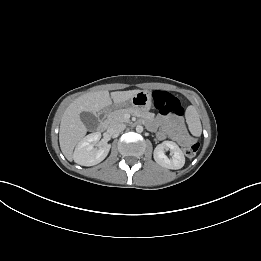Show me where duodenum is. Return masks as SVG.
<instances>
[{"mask_svg":"<svg viewBox=\"0 0 261 261\" xmlns=\"http://www.w3.org/2000/svg\"><path fill=\"white\" fill-rule=\"evenodd\" d=\"M106 129V124L104 122H100L98 125L99 131H104Z\"/></svg>","mask_w":261,"mask_h":261,"instance_id":"obj_1","label":"duodenum"}]
</instances>
